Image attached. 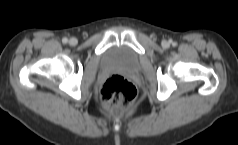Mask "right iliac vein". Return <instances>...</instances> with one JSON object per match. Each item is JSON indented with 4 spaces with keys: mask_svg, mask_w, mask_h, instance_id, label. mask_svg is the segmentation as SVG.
<instances>
[{
    "mask_svg": "<svg viewBox=\"0 0 238 145\" xmlns=\"http://www.w3.org/2000/svg\"><path fill=\"white\" fill-rule=\"evenodd\" d=\"M77 39L76 38H71L70 40H69V44L71 45V46H75L76 44H77Z\"/></svg>",
    "mask_w": 238,
    "mask_h": 145,
    "instance_id": "right-iliac-vein-1",
    "label": "right iliac vein"
}]
</instances>
